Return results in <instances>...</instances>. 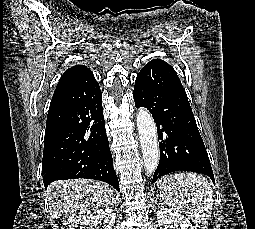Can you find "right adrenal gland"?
<instances>
[{
	"mask_svg": "<svg viewBox=\"0 0 255 229\" xmlns=\"http://www.w3.org/2000/svg\"><path fill=\"white\" fill-rule=\"evenodd\" d=\"M117 201H118L117 198L113 197V198H112V202L110 203V206H114V204H115V205H118V202H117Z\"/></svg>",
	"mask_w": 255,
	"mask_h": 229,
	"instance_id": "right-adrenal-gland-1",
	"label": "right adrenal gland"
}]
</instances>
